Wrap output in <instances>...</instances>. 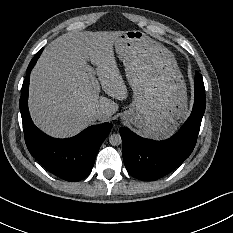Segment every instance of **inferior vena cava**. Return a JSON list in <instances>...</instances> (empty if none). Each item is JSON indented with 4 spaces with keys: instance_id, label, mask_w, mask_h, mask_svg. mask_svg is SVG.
I'll return each mask as SVG.
<instances>
[{
    "instance_id": "inferior-vena-cava-1",
    "label": "inferior vena cava",
    "mask_w": 233,
    "mask_h": 233,
    "mask_svg": "<svg viewBox=\"0 0 233 233\" xmlns=\"http://www.w3.org/2000/svg\"><path fill=\"white\" fill-rule=\"evenodd\" d=\"M103 115H104V110H103V109H98V110H96L95 113H94V117H95L96 119L102 118Z\"/></svg>"
}]
</instances>
